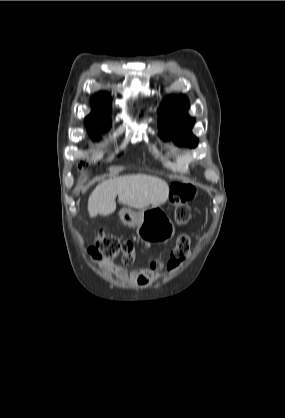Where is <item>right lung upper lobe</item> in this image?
Instances as JSON below:
<instances>
[{
    "mask_svg": "<svg viewBox=\"0 0 285 418\" xmlns=\"http://www.w3.org/2000/svg\"><path fill=\"white\" fill-rule=\"evenodd\" d=\"M93 112L90 113L85 121L110 125V117L107 113L110 110V100L104 93H99L92 98Z\"/></svg>",
    "mask_w": 285,
    "mask_h": 418,
    "instance_id": "right-lung-upper-lobe-1",
    "label": "right lung upper lobe"
}]
</instances>
